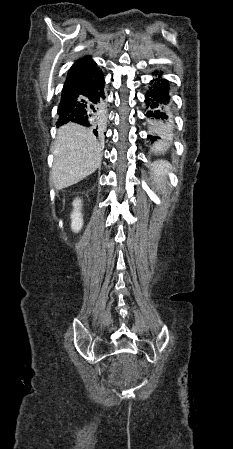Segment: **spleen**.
I'll use <instances>...</instances> for the list:
<instances>
[{
  "mask_svg": "<svg viewBox=\"0 0 233 449\" xmlns=\"http://www.w3.org/2000/svg\"><path fill=\"white\" fill-rule=\"evenodd\" d=\"M160 146H157V148H159ZM163 165H159L157 167H153V174H154V180L157 184L158 188H163L165 187V172L163 170Z\"/></svg>",
  "mask_w": 233,
  "mask_h": 449,
  "instance_id": "3e777b00",
  "label": "spleen"
}]
</instances>
